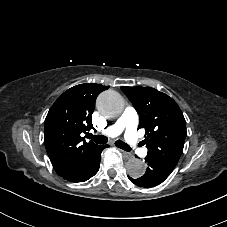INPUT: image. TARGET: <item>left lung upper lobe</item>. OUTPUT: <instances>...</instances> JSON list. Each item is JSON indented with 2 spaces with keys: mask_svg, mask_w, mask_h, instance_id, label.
I'll list each match as a JSON object with an SVG mask.
<instances>
[{
  "mask_svg": "<svg viewBox=\"0 0 227 227\" xmlns=\"http://www.w3.org/2000/svg\"><path fill=\"white\" fill-rule=\"evenodd\" d=\"M139 114L144 128L147 158L174 169L187 136L186 122L177 103L150 87H121Z\"/></svg>",
  "mask_w": 227,
  "mask_h": 227,
  "instance_id": "5c2ea615",
  "label": "left lung upper lobe"
}]
</instances>
